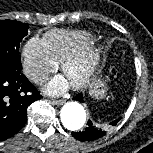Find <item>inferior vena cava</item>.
Segmentation results:
<instances>
[{"label": "inferior vena cava", "mask_w": 153, "mask_h": 153, "mask_svg": "<svg viewBox=\"0 0 153 153\" xmlns=\"http://www.w3.org/2000/svg\"><path fill=\"white\" fill-rule=\"evenodd\" d=\"M31 78L34 82H44L48 79V76L41 73H35Z\"/></svg>", "instance_id": "602c4592"}]
</instances>
